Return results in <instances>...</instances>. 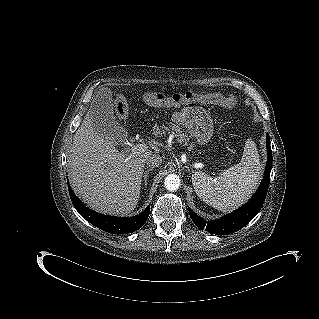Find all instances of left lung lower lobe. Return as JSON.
Wrapping results in <instances>:
<instances>
[{
    "instance_id": "1",
    "label": "left lung lower lobe",
    "mask_w": 319,
    "mask_h": 319,
    "mask_svg": "<svg viewBox=\"0 0 319 319\" xmlns=\"http://www.w3.org/2000/svg\"><path fill=\"white\" fill-rule=\"evenodd\" d=\"M266 148L268 160L266 163L264 177L258 191L255 193L253 198L247 204L224 216L223 218L208 222L199 217L192 210H189L190 217L197 227H199L201 230L205 229L212 234L227 235L240 230L257 215L264 203L270 180L272 151L270 147L269 135H267Z\"/></svg>"
}]
</instances>
